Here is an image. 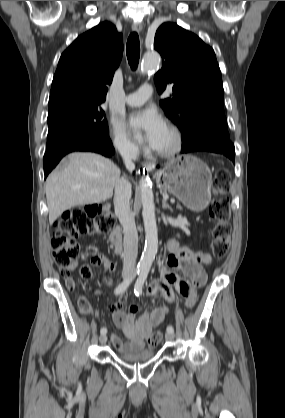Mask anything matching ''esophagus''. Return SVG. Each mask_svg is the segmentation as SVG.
Wrapping results in <instances>:
<instances>
[{"label":"esophagus","instance_id":"esophagus-1","mask_svg":"<svg viewBox=\"0 0 285 418\" xmlns=\"http://www.w3.org/2000/svg\"><path fill=\"white\" fill-rule=\"evenodd\" d=\"M132 29L136 32H140L142 30V24L140 22H135L132 24ZM156 167V163L155 162H149L145 164V168L148 171H151L152 169H154Z\"/></svg>","mask_w":285,"mask_h":418}]
</instances>
